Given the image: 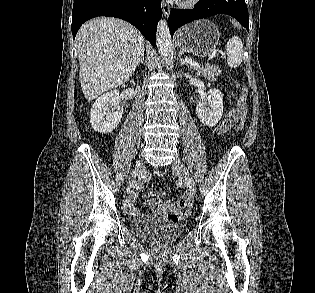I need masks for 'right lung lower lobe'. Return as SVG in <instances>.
<instances>
[{
  "label": "right lung lower lobe",
  "mask_w": 315,
  "mask_h": 293,
  "mask_svg": "<svg viewBox=\"0 0 315 293\" xmlns=\"http://www.w3.org/2000/svg\"><path fill=\"white\" fill-rule=\"evenodd\" d=\"M97 16L123 19L134 25L153 47L156 45V27L162 17L160 0H75L72 11L73 38L85 21Z\"/></svg>",
  "instance_id": "1"
}]
</instances>
